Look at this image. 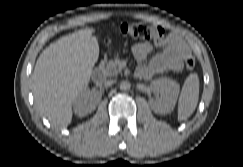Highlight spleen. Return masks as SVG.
I'll list each match as a JSON object with an SVG mask.
<instances>
[{"mask_svg": "<svg viewBox=\"0 0 243 167\" xmlns=\"http://www.w3.org/2000/svg\"><path fill=\"white\" fill-rule=\"evenodd\" d=\"M199 99V77L197 73L190 74L183 86L178 101V120H186L196 109Z\"/></svg>", "mask_w": 243, "mask_h": 167, "instance_id": "spleen-1", "label": "spleen"}]
</instances>
